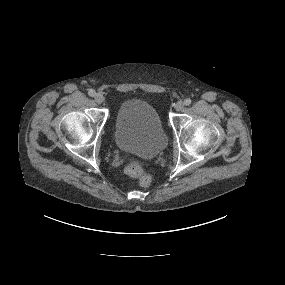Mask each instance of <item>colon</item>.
<instances>
[{
  "mask_svg": "<svg viewBox=\"0 0 285 285\" xmlns=\"http://www.w3.org/2000/svg\"><path fill=\"white\" fill-rule=\"evenodd\" d=\"M124 171L130 177L136 179L143 187L149 186L152 182L150 174L143 170L137 158L131 157L127 159L124 165Z\"/></svg>",
  "mask_w": 285,
  "mask_h": 285,
  "instance_id": "obj_1",
  "label": "colon"
}]
</instances>
